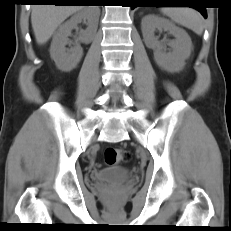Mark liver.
<instances>
[{"label": "liver", "mask_w": 231, "mask_h": 231, "mask_svg": "<svg viewBox=\"0 0 231 231\" xmlns=\"http://www.w3.org/2000/svg\"><path fill=\"white\" fill-rule=\"evenodd\" d=\"M84 8L79 5H34L31 23L36 42L45 44L63 21Z\"/></svg>", "instance_id": "6515ba94"}]
</instances>
